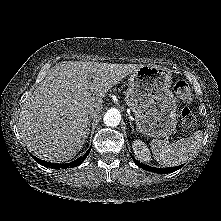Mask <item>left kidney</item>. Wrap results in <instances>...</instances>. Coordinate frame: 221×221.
I'll list each match as a JSON object with an SVG mask.
<instances>
[{"mask_svg":"<svg viewBox=\"0 0 221 221\" xmlns=\"http://www.w3.org/2000/svg\"><path fill=\"white\" fill-rule=\"evenodd\" d=\"M132 148L137 158L145 162H148L151 160L150 151L144 142L140 140H135L132 143Z\"/></svg>","mask_w":221,"mask_h":221,"instance_id":"5707ae66","label":"left kidney"}]
</instances>
